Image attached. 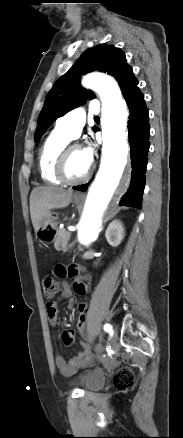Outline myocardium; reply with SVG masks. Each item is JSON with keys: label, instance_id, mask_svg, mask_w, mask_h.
<instances>
[{"label": "myocardium", "instance_id": "obj_1", "mask_svg": "<svg viewBox=\"0 0 183 438\" xmlns=\"http://www.w3.org/2000/svg\"><path fill=\"white\" fill-rule=\"evenodd\" d=\"M74 149H81V146L79 144H67L59 153L55 168H54V174L56 178L62 183L70 186L79 185L82 183L87 182L90 177L92 176L94 165L90 163L89 169L86 172V174L77 180H71L66 176V163L68 156Z\"/></svg>", "mask_w": 183, "mask_h": 438}]
</instances>
